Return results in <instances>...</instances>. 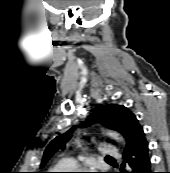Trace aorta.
Here are the masks:
<instances>
[{"label": "aorta", "instance_id": "762f6f07", "mask_svg": "<svg viewBox=\"0 0 170 173\" xmlns=\"http://www.w3.org/2000/svg\"><path fill=\"white\" fill-rule=\"evenodd\" d=\"M108 135L111 136V137H113L116 140H121V138L119 137V134L116 133V132L109 131L108 132Z\"/></svg>", "mask_w": 170, "mask_h": 173}]
</instances>
